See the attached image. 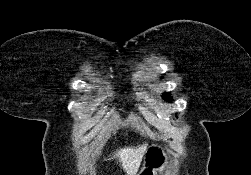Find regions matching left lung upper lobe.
<instances>
[{
    "mask_svg": "<svg viewBox=\"0 0 251 175\" xmlns=\"http://www.w3.org/2000/svg\"><path fill=\"white\" fill-rule=\"evenodd\" d=\"M163 98H164L165 100H167V101H171L170 95L167 94V93L163 94Z\"/></svg>",
    "mask_w": 251,
    "mask_h": 175,
    "instance_id": "5c2ea615",
    "label": "left lung upper lobe"
}]
</instances>
